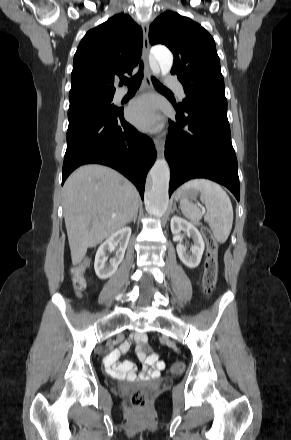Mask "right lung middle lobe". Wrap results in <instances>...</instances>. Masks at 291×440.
<instances>
[{"mask_svg": "<svg viewBox=\"0 0 291 440\" xmlns=\"http://www.w3.org/2000/svg\"><path fill=\"white\" fill-rule=\"evenodd\" d=\"M113 95L111 96H87L74 101H70L69 109L81 106L95 107L107 112H116L120 108L113 103Z\"/></svg>", "mask_w": 291, "mask_h": 440, "instance_id": "dd1d6c3e", "label": "right lung middle lobe"}]
</instances>
